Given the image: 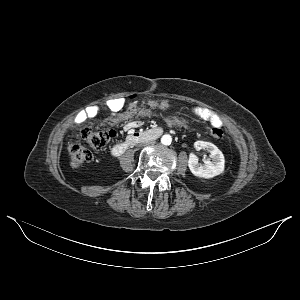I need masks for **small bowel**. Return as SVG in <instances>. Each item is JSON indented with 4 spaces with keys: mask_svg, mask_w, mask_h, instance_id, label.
Wrapping results in <instances>:
<instances>
[{
    "mask_svg": "<svg viewBox=\"0 0 300 300\" xmlns=\"http://www.w3.org/2000/svg\"><path fill=\"white\" fill-rule=\"evenodd\" d=\"M193 114H195L196 116L203 118L205 120H208L212 125L214 126H220L221 125V120L220 118L210 112L207 109L201 108V107H194L192 109ZM101 113L99 107L97 106H90L88 108H86L85 110L81 111L80 113H78L75 117V123L76 124H82L84 122H86L88 119L90 118H94L99 116ZM140 125L139 121H130L127 124V128L131 129V128H136Z\"/></svg>",
    "mask_w": 300,
    "mask_h": 300,
    "instance_id": "c3829d8e",
    "label": "small bowel"
}]
</instances>
